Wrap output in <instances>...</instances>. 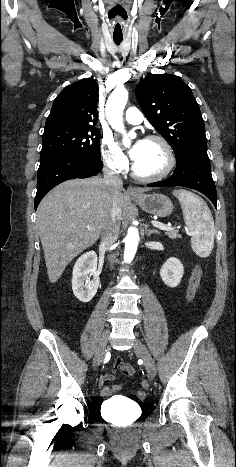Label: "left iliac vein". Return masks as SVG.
<instances>
[{
  "label": "left iliac vein",
  "mask_w": 236,
  "mask_h": 467,
  "mask_svg": "<svg viewBox=\"0 0 236 467\" xmlns=\"http://www.w3.org/2000/svg\"><path fill=\"white\" fill-rule=\"evenodd\" d=\"M134 350L144 360L149 376L155 377L157 372L156 365L146 345L139 339H136L134 342Z\"/></svg>",
  "instance_id": "obj_1"
}]
</instances>
